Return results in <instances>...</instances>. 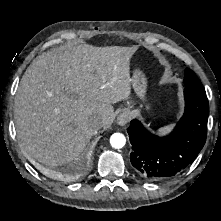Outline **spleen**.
<instances>
[{
	"instance_id": "3e777b00",
	"label": "spleen",
	"mask_w": 221,
	"mask_h": 221,
	"mask_svg": "<svg viewBox=\"0 0 221 221\" xmlns=\"http://www.w3.org/2000/svg\"><path fill=\"white\" fill-rule=\"evenodd\" d=\"M172 128H173V125H168V126L158 129V132L162 134H166V133H169L172 130Z\"/></svg>"
}]
</instances>
